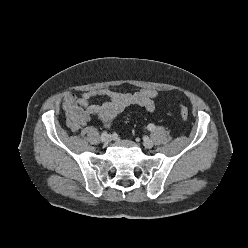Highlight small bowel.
I'll list each match as a JSON object with an SVG mask.
<instances>
[{
  "instance_id": "1",
  "label": "small bowel",
  "mask_w": 248,
  "mask_h": 248,
  "mask_svg": "<svg viewBox=\"0 0 248 248\" xmlns=\"http://www.w3.org/2000/svg\"><path fill=\"white\" fill-rule=\"evenodd\" d=\"M97 97H103L106 101L101 105L93 104V99ZM132 105L153 112L158 106V93L149 89L133 93L101 89L85 91L79 95L69 93L62 101V109L67 116L66 125L72 132H77L93 118L104 125H111L120 113Z\"/></svg>"
}]
</instances>
